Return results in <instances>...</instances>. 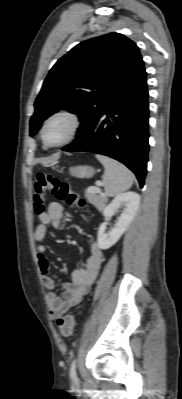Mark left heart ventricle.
<instances>
[{
	"instance_id": "1",
	"label": "left heart ventricle",
	"mask_w": 182,
	"mask_h": 399,
	"mask_svg": "<svg viewBox=\"0 0 182 399\" xmlns=\"http://www.w3.org/2000/svg\"><path fill=\"white\" fill-rule=\"evenodd\" d=\"M71 124L65 118H57L52 120L45 132L46 141L49 144H58L63 141L69 134Z\"/></svg>"
}]
</instances>
